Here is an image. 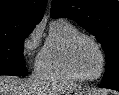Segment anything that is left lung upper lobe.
Returning a JSON list of instances; mask_svg holds the SVG:
<instances>
[{
	"mask_svg": "<svg viewBox=\"0 0 119 95\" xmlns=\"http://www.w3.org/2000/svg\"><path fill=\"white\" fill-rule=\"evenodd\" d=\"M51 17L72 19L96 37L106 54V71L99 86L119 87V2L52 0Z\"/></svg>",
	"mask_w": 119,
	"mask_h": 95,
	"instance_id": "left-lung-upper-lobe-1",
	"label": "left lung upper lobe"
}]
</instances>
